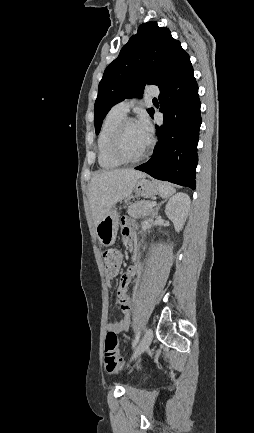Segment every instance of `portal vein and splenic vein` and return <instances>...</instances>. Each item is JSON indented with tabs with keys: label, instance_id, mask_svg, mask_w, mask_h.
Here are the masks:
<instances>
[{
	"label": "portal vein and splenic vein",
	"instance_id": "portal-vein-and-splenic-vein-1",
	"mask_svg": "<svg viewBox=\"0 0 254 433\" xmlns=\"http://www.w3.org/2000/svg\"><path fill=\"white\" fill-rule=\"evenodd\" d=\"M155 205H156V202L153 201V202H151L148 206H149V207H153V206H155Z\"/></svg>",
	"mask_w": 254,
	"mask_h": 433
}]
</instances>
